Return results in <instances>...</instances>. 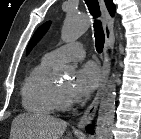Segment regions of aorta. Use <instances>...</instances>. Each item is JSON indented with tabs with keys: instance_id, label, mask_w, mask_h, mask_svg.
I'll return each mask as SVG.
<instances>
[{
	"instance_id": "aorta-1",
	"label": "aorta",
	"mask_w": 141,
	"mask_h": 139,
	"mask_svg": "<svg viewBox=\"0 0 141 139\" xmlns=\"http://www.w3.org/2000/svg\"><path fill=\"white\" fill-rule=\"evenodd\" d=\"M89 26L90 20L87 16L77 12L68 13L62 26L61 39L65 42H74L88 30ZM115 98L116 78L115 74H112L100 102L95 139H112Z\"/></svg>"
}]
</instances>
